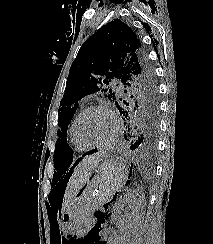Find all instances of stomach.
Here are the masks:
<instances>
[{"label":"stomach","mask_w":213,"mask_h":244,"mask_svg":"<svg viewBox=\"0 0 213 244\" xmlns=\"http://www.w3.org/2000/svg\"><path fill=\"white\" fill-rule=\"evenodd\" d=\"M104 155L93 174L61 215L60 228L74 234L89 226L95 207L109 202L127 179L125 161L111 154H124V149H104Z\"/></svg>","instance_id":"0dacf381"}]
</instances>
